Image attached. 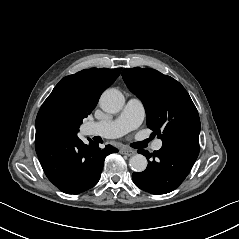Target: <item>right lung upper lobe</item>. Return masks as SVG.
I'll return each instance as SVG.
<instances>
[{
  "label": "right lung upper lobe",
  "instance_id": "obj_1",
  "mask_svg": "<svg viewBox=\"0 0 239 239\" xmlns=\"http://www.w3.org/2000/svg\"><path fill=\"white\" fill-rule=\"evenodd\" d=\"M119 69H85L64 77L41 106L36 118V132L43 111L52 103L66 102L90 112L95 108L101 92L119 76Z\"/></svg>",
  "mask_w": 239,
  "mask_h": 239
}]
</instances>
